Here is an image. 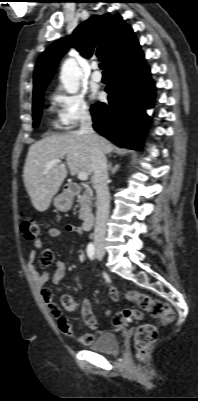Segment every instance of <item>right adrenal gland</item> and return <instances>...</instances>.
<instances>
[{
    "label": "right adrenal gland",
    "mask_w": 198,
    "mask_h": 401,
    "mask_svg": "<svg viewBox=\"0 0 198 401\" xmlns=\"http://www.w3.org/2000/svg\"><path fill=\"white\" fill-rule=\"evenodd\" d=\"M108 169H109V170H112V164H111V162L108 163Z\"/></svg>",
    "instance_id": "2a0ac1e0"
}]
</instances>
